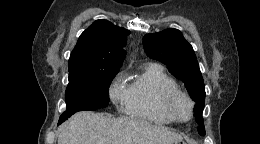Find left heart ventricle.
Instances as JSON below:
<instances>
[{
	"mask_svg": "<svg viewBox=\"0 0 260 144\" xmlns=\"http://www.w3.org/2000/svg\"><path fill=\"white\" fill-rule=\"evenodd\" d=\"M174 110L180 118L185 119L189 116V103L185 99L179 98L174 103Z\"/></svg>",
	"mask_w": 260,
	"mask_h": 144,
	"instance_id": "b2bd125f",
	"label": "left heart ventricle"
}]
</instances>
